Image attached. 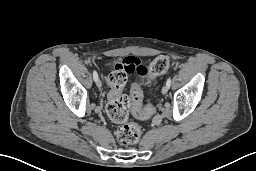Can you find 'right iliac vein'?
<instances>
[{
  "instance_id": "obj_1",
  "label": "right iliac vein",
  "mask_w": 256,
  "mask_h": 171,
  "mask_svg": "<svg viewBox=\"0 0 256 171\" xmlns=\"http://www.w3.org/2000/svg\"><path fill=\"white\" fill-rule=\"evenodd\" d=\"M96 85H97L98 88H101V86H102V82L99 78L96 81Z\"/></svg>"
}]
</instances>
